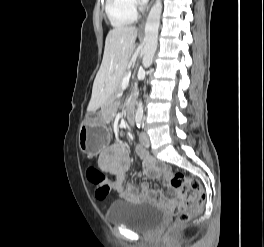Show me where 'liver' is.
Returning a JSON list of instances; mask_svg holds the SVG:
<instances>
[{"label":"liver","instance_id":"6515ba94","mask_svg":"<svg viewBox=\"0 0 264 247\" xmlns=\"http://www.w3.org/2000/svg\"><path fill=\"white\" fill-rule=\"evenodd\" d=\"M137 33V28L133 26L117 27L109 31L102 64L94 80L88 112L102 107L125 75L135 48Z\"/></svg>","mask_w":264,"mask_h":247}]
</instances>
